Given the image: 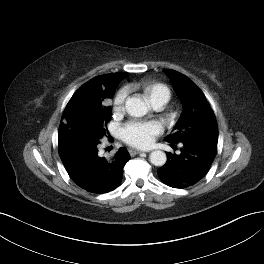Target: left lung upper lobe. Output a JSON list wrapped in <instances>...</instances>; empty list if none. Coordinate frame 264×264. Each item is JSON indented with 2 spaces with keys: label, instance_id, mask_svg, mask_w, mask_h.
<instances>
[{
  "label": "left lung upper lobe",
  "instance_id": "obj_1",
  "mask_svg": "<svg viewBox=\"0 0 264 264\" xmlns=\"http://www.w3.org/2000/svg\"><path fill=\"white\" fill-rule=\"evenodd\" d=\"M164 72L170 78L183 104V112L174 127V132L165 140L169 143L204 140L217 144L218 127L205 95L186 76L172 70Z\"/></svg>",
  "mask_w": 264,
  "mask_h": 264
}]
</instances>
